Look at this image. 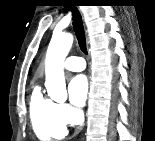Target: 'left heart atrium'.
I'll list each match as a JSON object with an SVG mask.
<instances>
[{
  "label": "left heart atrium",
  "instance_id": "left-heart-atrium-1",
  "mask_svg": "<svg viewBox=\"0 0 155 141\" xmlns=\"http://www.w3.org/2000/svg\"><path fill=\"white\" fill-rule=\"evenodd\" d=\"M71 102L78 107L85 104L88 96V80L85 75L75 76L68 87Z\"/></svg>",
  "mask_w": 155,
  "mask_h": 141
}]
</instances>
